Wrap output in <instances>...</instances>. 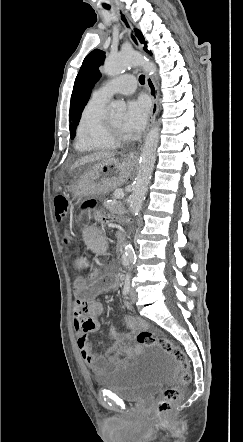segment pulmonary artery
Listing matches in <instances>:
<instances>
[{
	"label": "pulmonary artery",
	"mask_w": 243,
	"mask_h": 442,
	"mask_svg": "<svg viewBox=\"0 0 243 442\" xmlns=\"http://www.w3.org/2000/svg\"><path fill=\"white\" fill-rule=\"evenodd\" d=\"M136 80L131 74L120 75L94 91L93 98L108 101L115 94H130L135 90Z\"/></svg>",
	"instance_id": "1"
}]
</instances>
